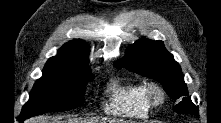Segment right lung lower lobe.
I'll return each instance as SVG.
<instances>
[{
    "instance_id": "1",
    "label": "right lung lower lobe",
    "mask_w": 221,
    "mask_h": 123,
    "mask_svg": "<svg viewBox=\"0 0 221 123\" xmlns=\"http://www.w3.org/2000/svg\"><path fill=\"white\" fill-rule=\"evenodd\" d=\"M25 119H27V116L20 115V120L21 121H24Z\"/></svg>"
}]
</instances>
